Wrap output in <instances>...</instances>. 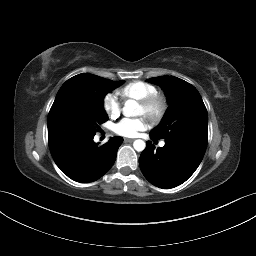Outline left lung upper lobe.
<instances>
[{
	"label": "left lung upper lobe",
	"instance_id": "left-lung-upper-lobe-1",
	"mask_svg": "<svg viewBox=\"0 0 256 256\" xmlns=\"http://www.w3.org/2000/svg\"><path fill=\"white\" fill-rule=\"evenodd\" d=\"M147 81L160 85L169 103L161 123L151 130V138L182 142L206 151L208 115L197 89L174 76H160Z\"/></svg>",
	"mask_w": 256,
	"mask_h": 256
}]
</instances>
